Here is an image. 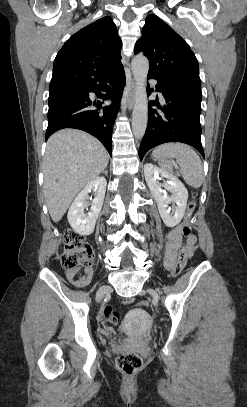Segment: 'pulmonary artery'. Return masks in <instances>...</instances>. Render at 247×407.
<instances>
[{"label":"pulmonary artery","mask_w":247,"mask_h":407,"mask_svg":"<svg viewBox=\"0 0 247 407\" xmlns=\"http://www.w3.org/2000/svg\"><path fill=\"white\" fill-rule=\"evenodd\" d=\"M150 82H151L153 85H155V84H156V81H155V80H153V79H151V80H150Z\"/></svg>","instance_id":"obj_1"}]
</instances>
